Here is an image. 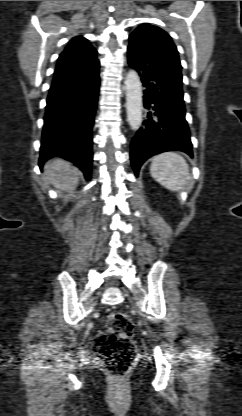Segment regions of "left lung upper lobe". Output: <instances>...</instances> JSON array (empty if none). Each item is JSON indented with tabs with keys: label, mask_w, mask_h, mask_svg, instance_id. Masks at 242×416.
<instances>
[{
	"label": "left lung upper lobe",
	"mask_w": 242,
	"mask_h": 416,
	"mask_svg": "<svg viewBox=\"0 0 242 416\" xmlns=\"http://www.w3.org/2000/svg\"><path fill=\"white\" fill-rule=\"evenodd\" d=\"M129 37L137 38L141 42L151 45L155 49L161 51L171 63L176 73L182 77V67L178 51L171 37L165 31L150 24H142L138 26Z\"/></svg>",
	"instance_id": "1"
}]
</instances>
